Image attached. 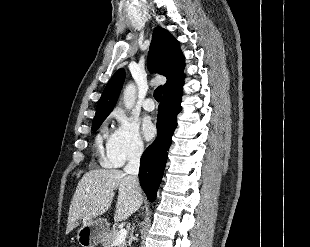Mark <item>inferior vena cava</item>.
<instances>
[{"label": "inferior vena cava", "mask_w": 310, "mask_h": 247, "mask_svg": "<svg viewBox=\"0 0 310 247\" xmlns=\"http://www.w3.org/2000/svg\"><path fill=\"white\" fill-rule=\"evenodd\" d=\"M143 153V145L138 144L129 154L128 163L124 167L125 174L132 178L134 186H139L138 172L140 166V158Z\"/></svg>", "instance_id": "1"}]
</instances>
